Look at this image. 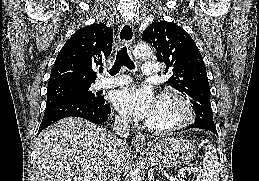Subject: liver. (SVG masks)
Masks as SVG:
<instances>
[{"label":"liver","instance_id":"obj_1","mask_svg":"<svg viewBox=\"0 0 259 181\" xmlns=\"http://www.w3.org/2000/svg\"><path fill=\"white\" fill-rule=\"evenodd\" d=\"M114 136L81 118L62 119L37 139L35 181H106ZM122 168L130 154L121 153Z\"/></svg>","mask_w":259,"mask_h":181}]
</instances>
